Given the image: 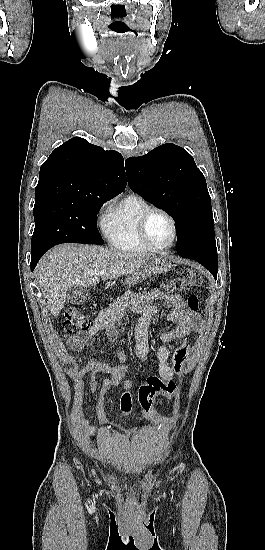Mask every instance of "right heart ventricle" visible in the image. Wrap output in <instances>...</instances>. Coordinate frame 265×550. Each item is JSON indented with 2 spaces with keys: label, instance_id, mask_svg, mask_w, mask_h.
I'll use <instances>...</instances> for the list:
<instances>
[{
  "label": "right heart ventricle",
  "instance_id": "1",
  "mask_svg": "<svg viewBox=\"0 0 265 550\" xmlns=\"http://www.w3.org/2000/svg\"><path fill=\"white\" fill-rule=\"evenodd\" d=\"M150 207V203L137 194H129L120 200L103 222L109 244L121 252L148 251L149 248L140 239L138 222L142 213Z\"/></svg>",
  "mask_w": 265,
  "mask_h": 550
}]
</instances>
